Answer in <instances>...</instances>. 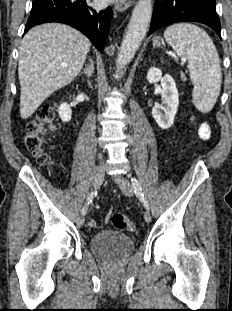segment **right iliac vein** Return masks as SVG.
Masks as SVG:
<instances>
[{
    "mask_svg": "<svg viewBox=\"0 0 232 311\" xmlns=\"http://www.w3.org/2000/svg\"><path fill=\"white\" fill-rule=\"evenodd\" d=\"M104 178H105V168H99L94 177L93 187L95 189L100 188V186L104 181ZM84 222H85L84 216H80L77 220L79 226H82Z\"/></svg>",
    "mask_w": 232,
    "mask_h": 311,
    "instance_id": "1",
    "label": "right iliac vein"
}]
</instances>
